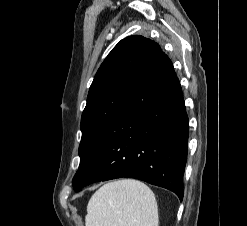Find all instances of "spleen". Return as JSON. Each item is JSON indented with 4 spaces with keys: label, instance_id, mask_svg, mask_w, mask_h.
<instances>
[{
    "label": "spleen",
    "instance_id": "3e777b00",
    "mask_svg": "<svg viewBox=\"0 0 247 226\" xmlns=\"http://www.w3.org/2000/svg\"><path fill=\"white\" fill-rule=\"evenodd\" d=\"M154 193L134 179L109 182L90 198L86 226H158Z\"/></svg>",
    "mask_w": 247,
    "mask_h": 226
}]
</instances>
